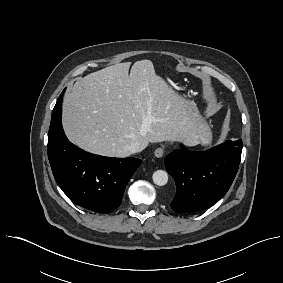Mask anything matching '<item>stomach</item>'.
I'll use <instances>...</instances> for the list:
<instances>
[{
	"mask_svg": "<svg viewBox=\"0 0 283 283\" xmlns=\"http://www.w3.org/2000/svg\"><path fill=\"white\" fill-rule=\"evenodd\" d=\"M190 101V100H187ZM190 108L192 116L197 120L196 122V134L199 140V144L202 146H208L212 142V132L209 124L200 115L195 103L190 101Z\"/></svg>",
	"mask_w": 283,
	"mask_h": 283,
	"instance_id": "stomach-1",
	"label": "stomach"
}]
</instances>
